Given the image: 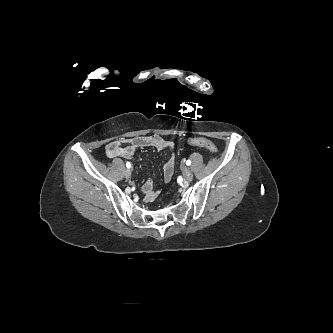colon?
<instances>
[{
	"mask_svg": "<svg viewBox=\"0 0 333 333\" xmlns=\"http://www.w3.org/2000/svg\"><path fill=\"white\" fill-rule=\"evenodd\" d=\"M188 143L192 146L204 148L211 153L217 152V147L212 142H210L209 140H207L205 138L193 137V138L188 139Z\"/></svg>",
	"mask_w": 333,
	"mask_h": 333,
	"instance_id": "obj_1",
	"label": "colon"
}]
</instances>
